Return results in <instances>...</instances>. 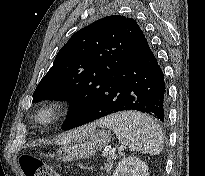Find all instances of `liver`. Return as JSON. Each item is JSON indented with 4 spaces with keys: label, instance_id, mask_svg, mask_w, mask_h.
<instances>
[{
    "label": "liver",
    "instance_id": "1",
    "mask_svg": "<svg viewBox=\"0 0 205 176\" xmlns=\"http://www.w3.org/2000/svg\"><path fill=\"white\" fill-rule=\"evenodd\" d=\"M86 129V126L78 128V129H74L66 134H64L63 136H61L56 143L57 144H67L70 143L71 141H73L74 139H77L78 137H80V135L82 134V132Z\"/></svg>",
    "mask_w": 205,
    "mask_h": 176
}]
</instances>
